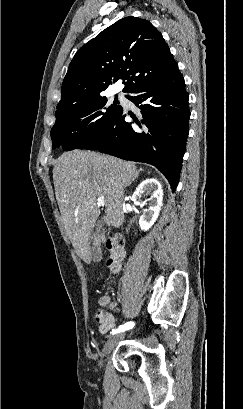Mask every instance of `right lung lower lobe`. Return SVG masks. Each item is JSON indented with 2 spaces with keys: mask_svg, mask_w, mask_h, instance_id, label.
<instances>
[{
  "mask_svg": "<svg viewBox=\"0 0 243 409\" xmlns=\"http://www.w3.org/2000/svg\"><path fill=\"white\" fill-rule=\"evenodd\" d=\"M126 96L141 110L142 119L125 122L123 109L100 132L87 136L75 149L98 150L158 168L175 191L189 133L188 93L179 69L139 84ZM140 104V105H139Z\"/></svg>",
  "mask_w": 243,
  "mask_h": 409,
  "instance_id": "1",
  "label": "right lung lower lobe"
}]
</instances>
